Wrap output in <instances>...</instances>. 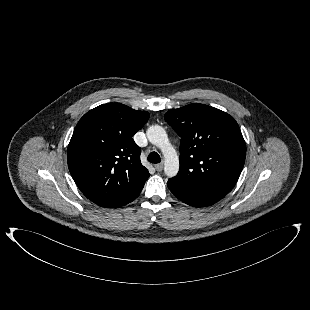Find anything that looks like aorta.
I'll return each instance as SVG.
<instances>
[{
	"instance_id": "1",
	"label": "aorta",
	"mask_w": 310,
	"mask_h": 310,
	"mask_svg": "<svg viewBox=\"0 0 310 310\" xmlns=\"http://www.w3.org/2000/svg\"><path fill=\"white\" fill-rule=\"evenodd\" d=\"M146 134L150 143L157 146L163 153L165 174L168 177H174L179 171V158L165 129L159 125H152L148 127Z\"/></svg>"
}]
</instances>
